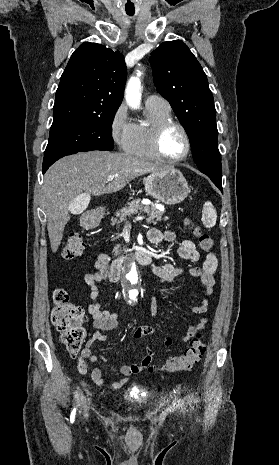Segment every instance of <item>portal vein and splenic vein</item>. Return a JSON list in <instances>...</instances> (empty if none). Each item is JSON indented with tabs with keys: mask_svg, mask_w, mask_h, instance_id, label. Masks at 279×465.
I'll list each match as a JSON object with an SVG mask.
<instances>
[{
	"mask_svg": "<svg viewBox=\"0 0 279 465\" xmlns=\"http://www.w3.org/2000/svg\"><path fill=\"white\" fill-rule=\"evenodd\" d=\"M114 178H115V176H109L107 180H108V181H112ZM81 197H87V198H88L89 196L86 195V194H82ZM143 219H144L143 216H138V217H136V221H141V220H143Z\"/></svg>",
	"mask_w": 279,
	"mask_h": 465,
	"instance_id": "18ae733b",
	"label": "portal vein and splenic vein"
}]
</instances>
